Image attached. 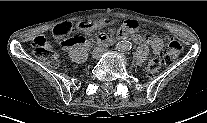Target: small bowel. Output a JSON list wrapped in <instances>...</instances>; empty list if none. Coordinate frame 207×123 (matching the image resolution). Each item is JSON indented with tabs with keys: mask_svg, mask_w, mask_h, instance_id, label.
<instances>
[{
	"mask_svg": "<svg viewBox=\"0 0 207 123\" xmlns=\"http://www.w3.org/2000/svg\"><path fill=\"white\" fill-rule=\"evenodd\" d=\"M104 26L103 23H99V24H96L93 28L90 29V25L89 24H84L83 28H84V31H89V30H92V29H95V30H98V29H101L102 27ZM138 27V23L136 20H127L123 26L121 27L120 31H119V36L120 37H125L127 34H133L132 35V40L134 43H146V44H149L152 48V51H153V54L154 55H159L163 48H164V42L163 40L158 37L157 35L155 34H152L150 36H141L140 34H136L135 31ZM109 37L102 33L99 35V40L101 42H105L106 40H108ZM83 42V40L80 39L79 42L77 43H81ZM68 46H64V48H67Z\"/></svg>",
	"mask_w": 207,
	"mask_h": 123,
	"instance_id": "obj_1",
	"label": "small bowel"
}]
</instances>
